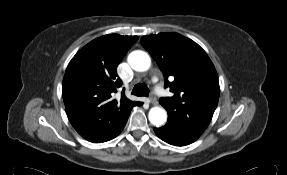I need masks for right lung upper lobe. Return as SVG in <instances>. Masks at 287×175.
Instances as JSON below:
<instances>
[{"label": "right lung upper lobe", "mask_w": 287, "mask_h": 175, "mask_svg": "<svg viewBox=\"0 0 287 175\" xmlns=\"http://www.w3.org/2000/svg\"><path fill=\"white\" fill-rule=\"evenodd\" d=\"M137 36L109 34L84 46L67 66L62 95L68 119L86 140L99 143L112 135L129 117L134 106L122 91L113 98L122 82L116 68Z\"/></svg>", "instance_id": "right-lung-upper-lobe-1"}]
</instances>
